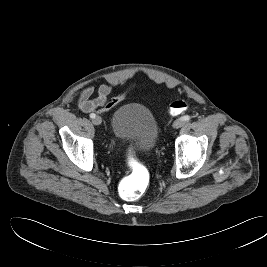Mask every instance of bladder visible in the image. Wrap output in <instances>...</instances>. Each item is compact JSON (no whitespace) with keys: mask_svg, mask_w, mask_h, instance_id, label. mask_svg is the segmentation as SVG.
<instances>
[{"mask_svg":"<svg viewBox=\"0 0 267 267\" xmlns=\"http://www.w3.org/2000/svg\"><path fill=\"white\" fill-rule=\"evenodd\" d=\"M112 132L116 139L132 140L138 151L147 153L158 140L159 125L148 107L130 102L120 106L113 114Z\"/></svg>","mask_w":267,"mask_h":267,"instance_id":"31cf9c89","label":"bladder"}]
</instances>
